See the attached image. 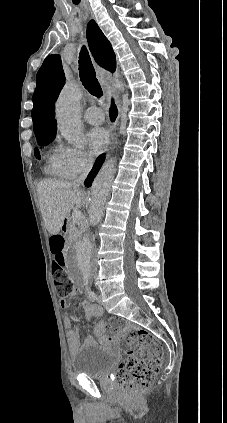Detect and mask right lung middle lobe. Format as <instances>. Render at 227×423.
<instances>
[{"label": "right lung middle lobe", "mask_w": 227, "mask_h": 423, "mask_svg": "<svg viewBox=\"0 0 227 423\" xmlns=\"http://www.w3.org/2000/svg\"><path fill=\"white\" fill-rule=\"evenodd\" d=\"M54 137H55V135L44 136V137H37V141H38V144L40 146H43V145H47L50 142H52V140L54 139ZM34 154H35V157L37 159H40V152H39V149L38 148H35Z\"/></svg>", "instance_id": "1"}]
</instances>
